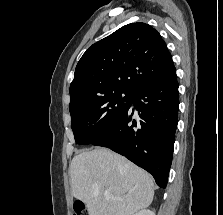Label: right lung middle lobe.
<instances>
[{
	"instance_id": "right-lung-middle-lobe-1",
	"label": "right lung middle lobe",
	"mask_w": 223,
	"mask_h": 215,
	"mask_svg": "<svg viewBox=\"0 0 223 215\" xmlns=\"http://www.w3.org/2000/svg\"><path fill=\"white\" fill-rule=\"evenodd\" d=\"M133 96V92L118 90L70 109L76 143L91 144L104 136L121 119Z\"/></svg>"
}]
</instances>
